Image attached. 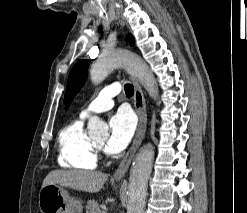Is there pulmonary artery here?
<instances>
[{
  "instance_id": "e3ab8cb5",
  "label": "pulmonary artery",
  "mask_w": 247,
  "mask_h": 213,
  "mask_svg": "<svg viewBox=\"0 0 247 213\" xmlns=\"http://www.w3.org/2000/svg\"><path fill=\"white\" fill-rule=\"evenodd\" d=\"M121 88L118 83L106 86L84 110L81 111L80 117L87 118L92 114L100 113L111 109L114 105L113 97L119 94Z\"/></svg>"
}]
</instances>
